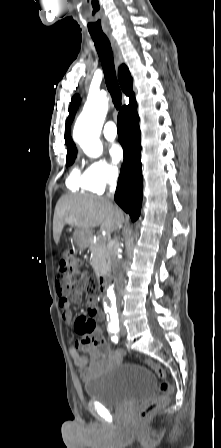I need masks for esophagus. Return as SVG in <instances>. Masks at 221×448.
Masks as SVG:
<instances>
[{"label":"esophagus","mask_w":221,"mask_h":448,"mask_svg":"<svg viewBox=\"0 0 221 448\" xmlns=\"http://www.w3.org/2000/svg\"><path fill=\"white\" fill-rule=\"evenodd\" d=\"M108 39H109V41L111 43V46H112V50H113V53H114L116 65L119 66L123 62L119 46H118V44H117V42H116V40H115L113 35H111V34L108 35Z\"/></svg>","instance_id":"obj_1"}]
</instances>
